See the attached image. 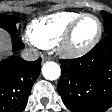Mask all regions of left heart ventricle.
Instances as JSON below:
<instances>
[{
  "mask_svg": "<svg viewBox=\"0 0 112 112\" xmlns=\"http://www.w3.org/2000/svg\"><path fill=\"white\" fill-rule=\"evenodd\" d=\"M98 23L93 17H85L76 27L71 45L74 48H81L89 44L96 36Z\"/></svg>",
  "mask_w": 112,
  "mask_h": 112,
  "instance_id": "obj_1",
  "label": "left heart ventricle"
}]
</instances>
